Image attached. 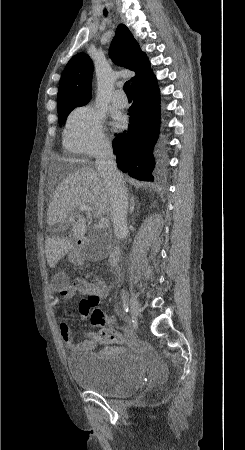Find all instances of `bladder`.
<instances>
[{
	"mask_svg": "<svg viewBox=\"0 0 245 450\" xmlns=\"http://www.w3.org/2000/svg\"><path fill=\"white\" fill-rule=\"evenodd\" d=\"M66 361L74 382L102 397H129L144 385V368L134 355L84 353L71 355Z\"/></svg>",
	"mask_w": 245,
	"mask_h": 450,
	"instance_id": "bladder-1",
	"label": "bladder"
}]
</instances>
